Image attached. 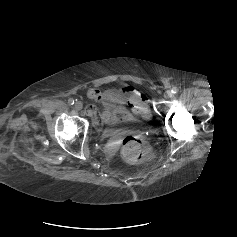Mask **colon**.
Instances as JSON below:
<instances>
[{"instance_id": "5ec220e1", "label": "colon", "mask_w": 237, "mask_h": 237, "mask_svg": "<svg viewBox=\"0 0 237 237\" xmlns=\"http://www.w3.org/2000/svg\"><path fill=\"white\" fill-rule=\"evenodd\" d=\"M122 145V155L128 162H142L153 156L150 145L140 136L129 135Z\"/></svg>"}]
</instances>
